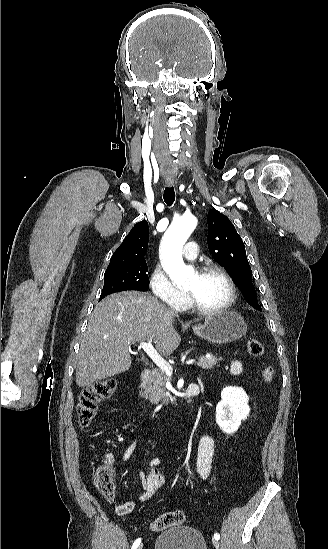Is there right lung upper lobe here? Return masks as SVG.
<instances>
[{"instance_id": "cb5924a9", "label": "right lung upper lobe", "mask_w": 328, "mask_h": 549, "mask_svg": "<svg viewBox=\"0 0 328 549\" xmlns=\"http://www.w3.org/2000/svg\"><path fill=\"white\" fill-rule=\"evenodd\" d=\"M148 239L149 228L147 221L143 220L136 223L122 244L113 253L107 271L131 263L145 261L144 256L148 245Z\"/></svg>"}]
</instances>
